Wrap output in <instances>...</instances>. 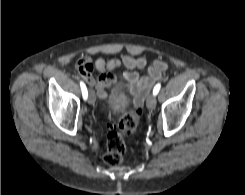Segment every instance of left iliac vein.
<instances>
[{"mask_svg":"<svg viewBox=\"0 0 245 195\" xmlns=\"http://www.w3.org/2000/svg\"><path fill=\"white\" fill-rule=\"evenodd\" d=\"M146 104H147V107L151 110L156 107V97L154 94H150L148 96Z\"/></svg>","mask_w":245,"mask_h":195,"instance_id":"left-iliac-vein-1","label":"left iliac vein"}]
</instances>
